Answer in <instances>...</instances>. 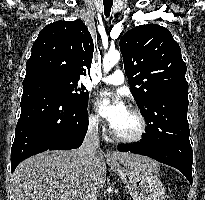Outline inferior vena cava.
Masks as SVG:
<instances>
[{
    "label": "inferior vena cava",
    "instance_id": "obj_1",
    "mask_svg": "<svg viewBox=\"0 0 205 200\" xmlns=\"http://www.w3.org/2000/svg\"><path fill=\"white\" fill-rule=\"evenodd\" d=\"M99 144L98 121L93 120L89 122L88 130L85 139L78 149V153L83 157V163L90 165L92 157L96 154ZM88 200H97V188L90 187L87 191Z\"/></svg>",
    "mask_w": 205,
    "mask_h": 200
}]
</instances>
